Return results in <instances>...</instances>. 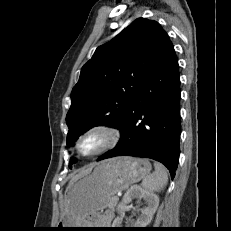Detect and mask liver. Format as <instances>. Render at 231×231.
Returning a JSON list of instances; mask_svg holds the SVG:
<instances>
[{"label":"liver","instance_id":"obj_1","mask_svg":"<svg viewBox=\"0 0 231 231\" xmlns=\"http://www.w3.org/2000/svg\"><path fill=\"white\" fill-rule=\"evenodd\" d=\"M93 167H94V164H92V165H91L89 168H87V169L81 170L78 174L74 175V176L71 178L70 183H71L72 181H74V180L80 178L81 176H83V175H85V174H88V173L92 170Z\"/></svg>","mask_w":231,"mask_h":231}]
</instances>
